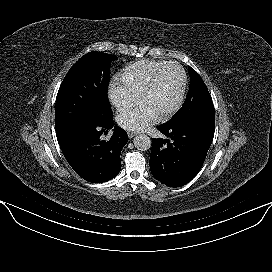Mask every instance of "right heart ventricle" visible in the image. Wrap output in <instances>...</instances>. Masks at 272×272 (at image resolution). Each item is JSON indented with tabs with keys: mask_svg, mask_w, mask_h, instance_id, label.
I'll return each instance as SVG.
<instances>
[{
	"mask_svg": "<svg viewBox=\"0 0 272 272\" xmlns=\"http://www.w3.org/2000/svg\"><path fill=\"white\" fill-rule=\"evenodd\" d=\"M167 63L154 59L138 60L124 69L120 80L127 88L139 95L154 74Z\"/></svg>",
	"mask_w": 272,
	"mask_h": 272,
	"instance_id": "right-heart-ventricle-1",
	"label": "right heart ventricle"
}]
</instances>
